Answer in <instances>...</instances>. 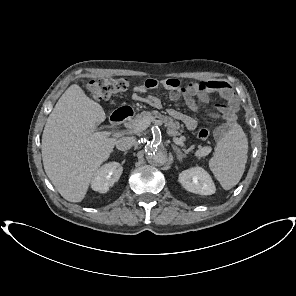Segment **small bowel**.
I'll return each instance as SVG.
<instances>
[{
  "instance_id": "obj_1",
  "label": "small bowel",
  "mask_w": 296,
  "mask_h": 296,
  "mask_svg": "<svg viewBox=\"0 0 296 296\" xmlns=\"http://www.w3.org/2000/svg\"><path fill=\"white\" fill-rule=\"evenodd\" d=\"M159 86L168 91L169 97L173 101H177L183 97L186 104L192 110L199 109L207 101L210 93H219L223 103L216 107V114L222 119L221 125L216 129V136L218 138L224 137L236 122V114L239 109L238 101L232 87L225 81L201 80L191 81L186 85H181L179 80L175 78L161 81L147 79L142 84L134 87L131 98L134 101H144L153 107L159 108L161 103L158 98L143 96L147 91ZM168 114L174 119L181 121L188 130H195L197 127L196 119L190 115L175 109H170Z\"/></svg>"
}]
</instances>
